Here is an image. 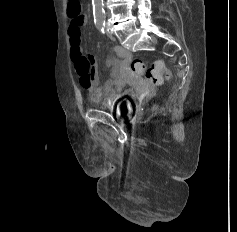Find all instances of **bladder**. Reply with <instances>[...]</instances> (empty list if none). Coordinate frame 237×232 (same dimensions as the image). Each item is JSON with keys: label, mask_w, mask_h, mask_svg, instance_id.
<instances>
[{"label": "bladder", "mask_w": 237, "mask_h": 232, "mask_svg": "<svg viewBox=\"0 0 237 232\" xmlns=\"http://www.w3.org/2000/svg\"><path fill=\"white\" fill-rule=\"evenodd\" d=\"M126 97L116 101L113 104H104V107L112 110L118 117H124L132 112L133 110V92L126 91Z\"/></svg>", "instance_id": "31cf9c89"}]
</instances>
